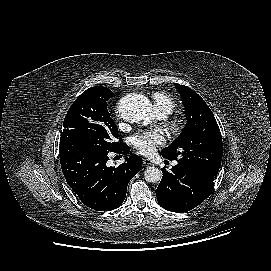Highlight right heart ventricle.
<instances>
[{"label": "right heart ventricle", "instance_id": "obj_1", "mask_svg": "<svg viewBox=\"0 0 271 271\" xmlns=\"http://www.w3.org/2000/svg\"><path fill=\"white\" fill-rule=\"evenodd\" d=\"M154 104L158 113L170 114L176 107L175 101L164 93L154 94Z\"/></svg>", "mask_w": 271, "mask_h": 271}]
</instances>
